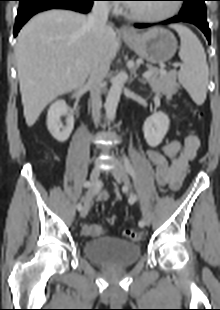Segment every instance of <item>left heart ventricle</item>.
Returning a JSON list of instances; mask_svg holds the SVG:
<instances>
[{"instance_id": "obj_1", "label": "left heart ventricle", "mask_w": 220, "mask_h": 310, "mask_svg": "<svg viewBox=\"0 0 220 310\" xmlns=\"http://www.w3.org/2000/svg\"><path fill=\"white\" fill-rule=\"evenodd\" d=\"M169 7L170 6L166 4H156V5L135 4L130 7V10L147 16H159L166 13Z\"/></svg>"}]
</instances>
